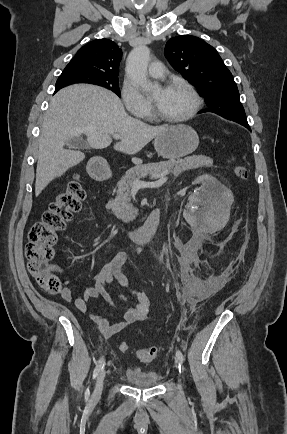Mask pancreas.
<instances>
[{"instance_id": "obj_1", "label": "pancreas", "mask_w": 287, "mask_h": 434, "mask_svg": "<svg viewBox=\"0 0 287 434\" xmlns=\"http://www.w3.org/2000/svg\"><path fill=\"white\" fill-rule=\"evenodd\" d=\"M212 165L213 160L211 158L204 155H195L184 159L161 161L158 163H148L135 166L128 170L118 182L117 196L110 204L112 212L117 218L124 222H130L136 218L138 210L133 207L130 194L134 180H140L147 176L155 178L164 173L178 176L180 173L187 170L209 167Z\"/></svg>"}]
</instances>
